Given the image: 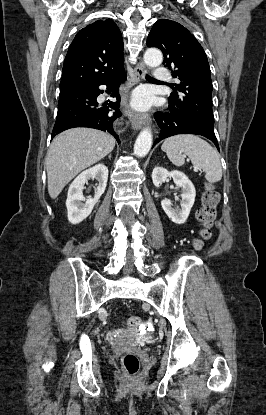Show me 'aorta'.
Returning a JSON list of instances; mask_svg holds the SVG:
<instances>
[{"label":"aorta","instance_id":"aorta-1","mask_svg":"<svg viewBox=\"0 0 266 415\" xmlns=\"http://www.w3.org/2000/svg\"><path fill=\"white\" fill-rule=\"evenodd\" d=\"M163 61V55L158 49L150 48L144 54V62L149 67H157ZM152 146V133L150 128L143 129L138 135L134 153L138 157H144L148 154Z\"/></svg>","mask_w":266,"mask_h":415}]
</instances>
